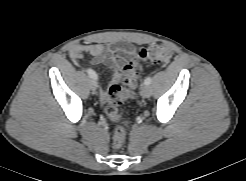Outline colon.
I'll use <instances>...</instances> for the list:
<instances>
[{"label":"colon","mask_w":246,"mask_h":181,"mask_svg":"<svg viewBox=\"0 0 246 181\" xmlns=\"http://www.w3.org/2000/svg\"><path fill=\"white\" fill-rule=\"evenodd\" d=\"M172 57V50L165 45H151L142 48L138 52V56L131 60L123 67L124 79L123 86L112 84L105 91L103 103L105 104V112L113 121L120 119L119 107L127 100L134 98L135 88L137 85V77L141 64L144 62L165 65ZM127 122L118 125L113 132V147H122L126 135Z\"/></svg>","instance_id":"5ec220e1"}]
</instances>
